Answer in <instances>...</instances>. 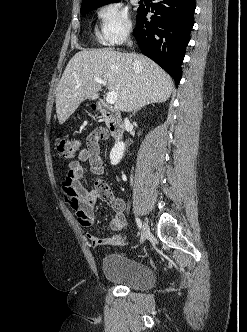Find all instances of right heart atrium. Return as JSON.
<instances>
[{
	"label": "right heart atrium",
	"mask_w": 247,
	"mask_h": 332,
	"mask_svg": "<svg viewBox=\"0 0 247 332\" xmlns=\"http://www.w3.org/2000/svg\"><path fill=\"white\" fill-rule=\"evenodd\" d=\"M101 40L107 45H119L130 35L132 23L128 10L119 1H110L98 10Z\"/></svg>",
	"instance_id": "right-heart-atrium-1"
}]
</instances>
